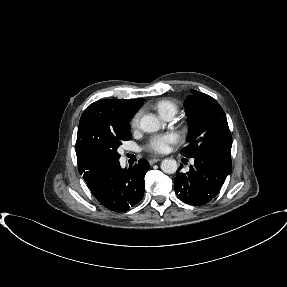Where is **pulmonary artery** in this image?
Returning a JSON list of instances; mask_svg holds the SVG:
<instances>
[{
	"label": "pulmonary artery",
	"instance_id": "obj_1",
	"mask_svg": "<svg viewBox=\"0 0 287 287\" xmlns=\"http://www.w3.org/2000/svg\"><path fill=\"white\" fill-rule=\"evenodd\" d=\"M174 117V114H167L163 118L166 120H171Z\"/></svg>",
	"mask_w": 287,
	"mask_h": 287
}]
</instances>
